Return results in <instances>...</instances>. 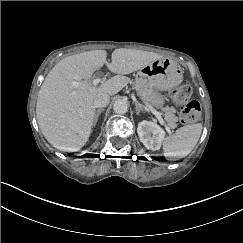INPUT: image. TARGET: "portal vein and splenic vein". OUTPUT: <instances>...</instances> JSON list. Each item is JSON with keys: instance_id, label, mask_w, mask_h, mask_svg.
<instances>
[{"instance_id": "obj_1", "label": "portal vein and splenic vein", "mask_w": 243, "mask_h": 243, "mask_svg": "<svg viewBox=\"0 0 243 243\" xmlns=\"http://www.w3.org/2000/svg\"><path fill=\"white\" fill-rule=\"evenodd\" d=\"M101 80H102L101 78H96V79H94L93 83L95 85H97L99 82H101ZM153 113L157 116L160 126H162L164 130H167V126L165 125V122H164L163 118L161 117L160 113L157 111H153Z\"/></svg>"}]
</instances>
